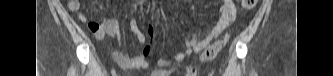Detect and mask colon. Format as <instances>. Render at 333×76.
<instances>
[{
	"label": "colon",
	"mask_w": 333,
	"mask_h": 76,
	"mask_svg": "<svg viewBox=\"0 0 333 76\" xmlns=\"http://www.w3.org/2000/svg\"><path fill=\"white\" fill-rule=\"evenodd\" d=\"M256 0H242L241 6L245 10H250L254 8L256 4ZM229 37L226 35L222 39L216 41L214 44L206 48L200 56L201 61H211L215 59L218 53L223 49V47L227 44Z\"/></svg>",
	"instance_id": "colon-1"
}]
</instances>
